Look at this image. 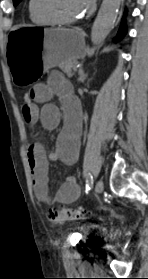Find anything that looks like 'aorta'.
<instances>
[{
	"instance_id": "762f6f07",
	"label": "aorta",
	"mask_w": 148,
	"mask_h": 279,
	"mask_svg": "<svg viewBox=\"0 0 148 279\" xmlns=\"http://www.w3.org/2000/svg\"><path fill=\"white\" fill-rule=\"evenodd\" d=\"M121 0H103L91 30L93 44L102 43L116 21Z\"/></svg>"
}]
</instances>
